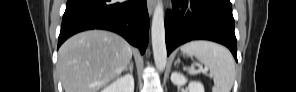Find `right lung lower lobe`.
I'll return each mask as SVG.
<instances>
[{
	"mask_svg": "<svg viewBox=\"0 0 296 92\" xmlns=\"http://www.w3.org/2000/svg\"><path fill=\"white\" fill-rule=\"evenodd\" d=\"M89 29L116 32L144 53L149 29L146 0H68L58 47L75 33Z\"/></svg>",
	"mask_w": 296,
	"mask_h": 92,
	"instance_id": "right-lung-lower-lobe-1",
	"label": "right lung lower lobe"
}]
</instances>
